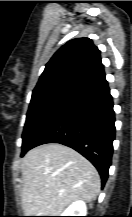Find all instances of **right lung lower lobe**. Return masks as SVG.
I'll return each instance as SVG.
<instances>
[{
  "mask_svg": "<svg viewBox=\"0 0 132 217\" xmlns=\"http://www.w3.org/2000/svg\"><path fill=\"white\" fill-rule=\"evenodd\" d=\"M114 123L113 100L105 84L70 102L31 148L60 143L75 149L97 168L104 185L113 153Z\"/></svg>",
  "mask_w": 132,
  "mask_h": 217,
  "instance_id": "obj_1",
  "label": "right lung lower lobe"
}]
</instances>
